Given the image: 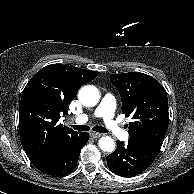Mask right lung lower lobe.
Masks as SVG:
<instances>
[{
  "instance_id": "obj_1",
  "label": "right lung lower lobe",
  "mask_w": 194,
  "mask_h": 194,
  "mask_svg": "<svg viewBox=\"0 0 194 194\" xmlns=\"http://www.w3.org/2000/svg\"><path fill=\"white\" fill-rule=\"evenodd\" d=\"M89 134H77L57 143L45 156L33 165L47 175L62 177L71 173L78 162L80 151Z\"/></svg>"
}]
</instances>
